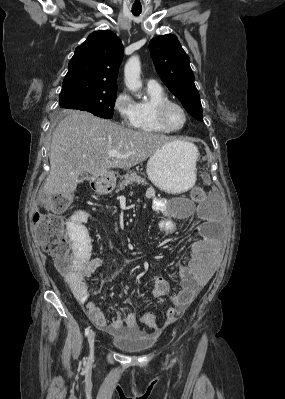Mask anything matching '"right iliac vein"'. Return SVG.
Returning <instances> with one entry per match:
<instances>
[{
  "instance_id": "right-iliac-vein-1",
  "label": "right iliac vein",
  "mask_w": 285,
  "mask_h": 399,
  "mask_svg": "<svg viewBox=\"0 0 285 399\" xmlns=\"http://www.w3.org/2000/svg\"><path fill=\"white\" fill-rule=\"evenodd\" d=\"M88 344H89V358L94 357L95 352V332L91 330L88 334Z\"/></svg>"
}]
</instances>
